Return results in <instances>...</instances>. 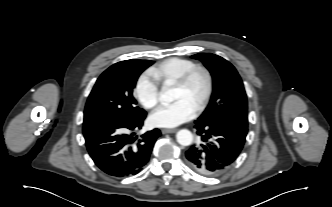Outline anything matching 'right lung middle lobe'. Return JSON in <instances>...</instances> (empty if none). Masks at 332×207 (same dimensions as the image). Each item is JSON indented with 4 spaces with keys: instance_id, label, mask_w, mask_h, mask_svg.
I'll use <instances>...</instances> for the list:
<instances>
[{
    "instance_id": "obj_1",
    "label": "right lung middle lobe",
    "mask_w": 332,
    "mask_h": 207,
    "mask_svg": "<svg viewBox=\"0 0 332 207\" xmlns=\"http://www.w3.org/2000/svg\"><path fill=\"white\" fill-rule=\"evenodd\" d=\"M153 61L125 60L109 67L96 81L86 103L83 125L130 122L146 112L136 106L133 89L139 75Z\"/></svg>"
}]
</instances>
